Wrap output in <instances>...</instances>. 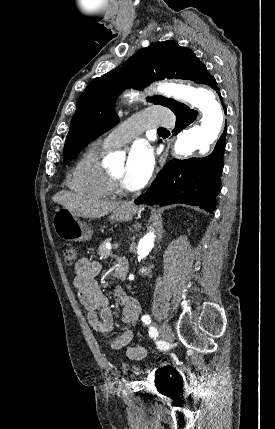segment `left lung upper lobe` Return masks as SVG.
<instances>
[{"instance_id":"1","label":"left lung upper lobe","mask_w":275,"mask_h":429,"mask_svg":"<svg viewBox=\"0 0 275 429\" xmlns=\"http://www.w3.org/2000/svg\"><path fill=\"white\" fill-rule=\"evenodd\" d=\"M205 65L189 48L169 40L154 42L127 59L121 68L95 78L81 94L63 151L65 163L86 145L111 129L119 121L114 100L127 88L143 89L155 80L177 78L193 80ZM154 104L172 111L181 103L162 96L149 98Z\"/></svg>"}]
</instances>
